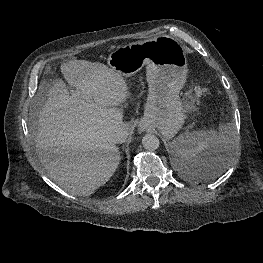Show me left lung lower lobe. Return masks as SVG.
Listing matches in <instances>:
<instances>
[{
  "mask_svg": "<svg viewBox=\"0 0 263 263\" xmlns=\"http://www.w3.org/2000/svg\"><path fill=\"white\" fill-rule=\"evenodd\" d=\"M224 163V157L219 148L212 147L197 157L181 161L178 159L179 170L187 177L206 179L216 174Z\"/></svg>",
  "mask_w": 263,
  "mask_h": 263,
  "instance_id": "1",
  "label": "left lung lower lobe"
}]
</instances>
